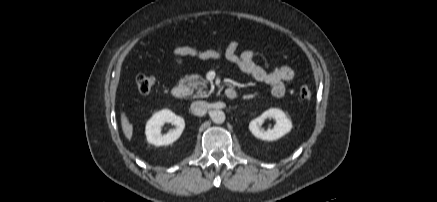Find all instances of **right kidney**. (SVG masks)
Wrapping results in <instances>:
<instances>
[{"instance_id": "obj_1", "label": "right kidney", "mask_w": 437, "mask_h": 202, "mask_svg": "<svg viewBox=\"0 0 437 202\" xmlns=\"http://www.w3.org/2000/svg\"><path fill=\"white\" fill-rule=\"evenodd\" d=\"M164 123L175 125V129L166 134L161 133V126ZM185 128V121L182 117L175 115L170 110H161L155 113L146 124L147 141L155 146L169 145L176 141Z\"/></svg>"}]
</instances>
